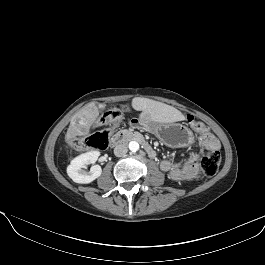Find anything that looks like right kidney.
<instances>
[{
	"instance_id": "ca27d5eb",
	"label": "right kidney",
	"mask_w": 265,
	"mask_h": 265,
	"mask_svg": "<svg viewBox=\"0 0 265 265\" xmlns=\"http://www.w3.org/2000/svg\"><path fill=\"white\" fill-rule=\"evenodd\" d=\"M100 155L98 151H90L79 155L71 161L67 168L68 176L76 183L88 184L101 176L102 169L99 165H93L90 172L83 170L88 164H94Z\"/></svg>"
}]
</instances>
